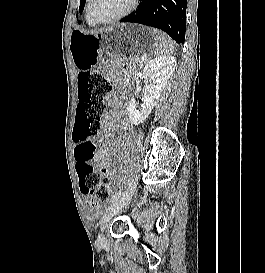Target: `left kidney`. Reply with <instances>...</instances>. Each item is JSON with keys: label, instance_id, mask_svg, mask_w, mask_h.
I'll return each mask as SVG.
<instances>
[{"label": "left kidney", "instance_id": "5707ae66", "mask_svg": "<svg viewBox=\"0 0 265 273\" xmlns=\"http://www.w3.org/2000/svg\"><path fill=\"white\" fill-rule=\"evenodd\" d=\"M176 67L173 56H160L147 63L142 72V77H149L150 83L143 92V104L137 109L136 101L132 98L128 105V115L134 125L142 123L151 113L156 100L169 81Z\"/></svg>", "mask_w": 265, "mask_h": 273}]
</instances>
